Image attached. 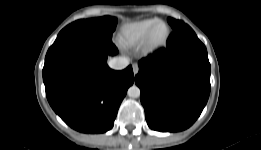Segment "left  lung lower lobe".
Instances as JSON below:
<instances>
[{
	"label": "left lung lower lobe",
	"mask_w": 261,
	"mask_h": 150,
	"mask_svg": "<svg viewBox=\"0 0 261 150\" xmlns=\"http://www.w3.org/2000/svg\"><path fill=\"white\" fill-rule=\"evenodd\" d=\"M135 83L148 126L177 132L200 116L210 94L211 66L204 44L187 25L174 29L167 47L142 58Z\"/></svg>",
	"instance_id": "1"
}]
</instances>
